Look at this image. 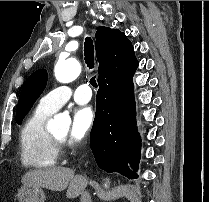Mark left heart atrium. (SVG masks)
Returning <instances> with one entry per match:
<instances>
[{
	"mask_svg": "<svg viewBox=\"0 0 209 202\" xmlns=\"http://www.w3.org/2000/svg\"><path fill=\"white\" fill-rule=\"evenodd\" d=\"M95 111L90 106L78 107L72 115V124L69 134L71 142H81L89 133L95 121Z\"/></svg>",
	"mask_w": 209,
	"mask_h": 202,
	"instance_id": "obj_1",
	"label": "left heart atrium"
}]
</instances>
